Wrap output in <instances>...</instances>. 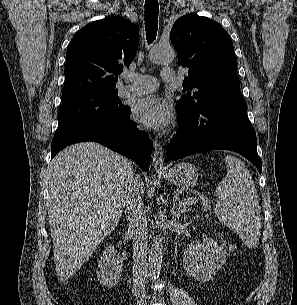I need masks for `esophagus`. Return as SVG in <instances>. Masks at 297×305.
Instances as JSON below:
<instances>
[{"label": "esophagus", "mask_w": 297, "mask_h": 305, "mask_svg": "<svg viewBox=\"0 0 297 305\" xmlns=\"http://www.w3.org/2000/svg\"><path fill=\"white\" fill-rule=\"evenodd\" d=\"M152 164L156 171L164 169V152L163 147L158 141H154V151L152 155Z\"/></svg>", "instance_id": "1"}]
</instances>
